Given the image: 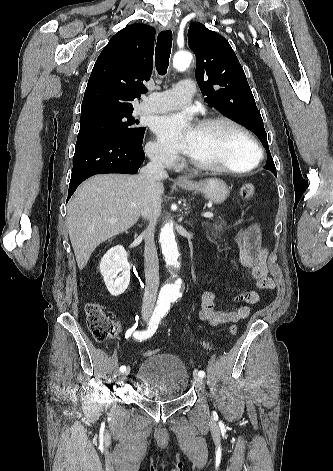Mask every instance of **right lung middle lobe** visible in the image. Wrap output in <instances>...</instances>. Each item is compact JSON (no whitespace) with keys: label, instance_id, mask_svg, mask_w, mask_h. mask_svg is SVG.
I'll return each mask as SVG.
<instances>
[{"label":"right lung middle lobe","instance_id":"1","mask_svg":"<svg viewBox=\"0 0 333 471\" xmlns=\"http://www.w3.org/2000/svg\"><path fill=\"white\" fill-rule=\"evenodd\" d=\"M132 110L115 111L82 118L78 136L87 134H112L129 141L141 143L145 128L138 127Z\"/></svg>","mask_w":333,"mask_h":471}]
</instances>
